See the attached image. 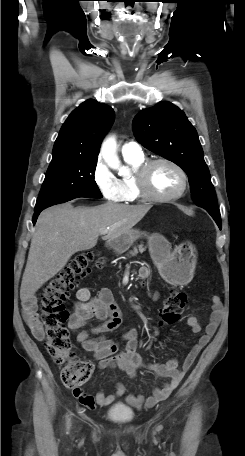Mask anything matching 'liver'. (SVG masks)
<instances>
[{
  "label": "liver",
  "instance_id": "liver-1",
  "mask_svg": "<svg viewBox=\"0 0 245 456\" xmlns=\"http://www.w3.org/2000/svg\"><path fill=\"white\" fill-rule=\"evenodd\" d=\"M150 204L105 203L96 207L55 205L39 215L23 273L20 298H31L78 252L95 247L101 232L103 240L127 233L151 209Z\"/></svg>",
  "mask_w": 245,
  "mask_h": 456
}]
</instances>
